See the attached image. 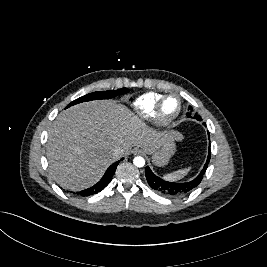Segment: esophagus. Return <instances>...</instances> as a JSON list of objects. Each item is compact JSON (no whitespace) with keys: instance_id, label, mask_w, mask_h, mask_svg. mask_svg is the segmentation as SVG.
<instances>
[{"instance_id":"1","label":"esophagus","mask_w":267,"mask_h":267,"mask_svg":"<svg viewBox=\"0 0 267 267\" xmlns=\"http://www.w3.org/2000/svg\"><path fill=\"white\" fill-rule=\"evenodd\" d=\"M141 153V150L140 149H135V151H134V154L136 155V154H140Z\"/></svg>"}]
</instances>
